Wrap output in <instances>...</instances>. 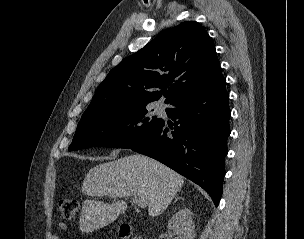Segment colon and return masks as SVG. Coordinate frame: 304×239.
<instances>
[{
    "instance_id": "5ec220e1",
    "label": "colon",
    "mask_w": 304,
    "mask_h": 239,
    "mask_svg": "<svg viewBox=\"0 0 304 239\" xmlns=\"http://www.w3.org/2000/svg\"><path fill=\"white\" fill-rule=\"evenodd\" d=\"M57 207L63 218L71 220L77 216L80 204L76 199L61 197L57 200ZM119 236L122 239H138L132 236L131 229L128 225H122L120 227Z\"/></svg>"
}]
</instances>
